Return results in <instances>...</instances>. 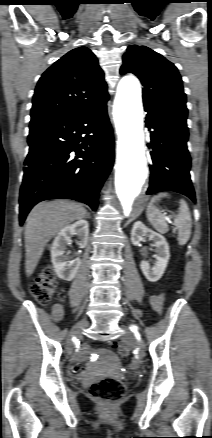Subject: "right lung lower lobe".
I'll return each mask as SVG.
<instances>
[{"label":"right lung lower lobe","instance_id":"right-lung-lower-lobe-1","mask_svg":"<svg viewBox=\"0 0 212 438\" xmlns=\"http://www.w3.org/2000/svg\"><path fill=\"white\" fill-rule=\"evenodd\" d=\"M30 146L20 189V225L38 202L67 198L94 211L114 162L106 103L77 115L30 123Z\"/></svg>","mask_w":212,"mask_h":438}]
</instances>
